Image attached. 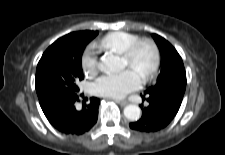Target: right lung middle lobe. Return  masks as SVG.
Listing matches in <instances>:
<instances>
[{"mask_svg": "<svg viewBox=\"0 0 225 155\" xmlns=\"http://www.w3.org/2000/svg\"><path fill=\"white\" fill-rule=\"evenodd\" d=\"M90 40H57L42 55L36 70V92L40 104L59 95H74L76 82L84 78L81 58Z\"/></svg>", "mask_w": 225, "mask_h": 155, "instance_id": "1", "label": "right lung middle lobe"}]
</instances>
